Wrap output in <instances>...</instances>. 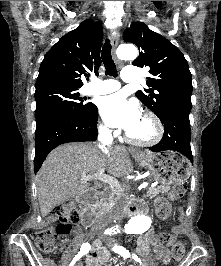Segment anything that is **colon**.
Segmentation results:
<instances>
[{
	"instance_id": "1",
	"label": "colon",
	"mask_w": 221,
	"mask_h": 266,
	"mask_svg": "<svg viewBox=\"0 0 221 266\" xmlns=\"http://www.w3.org/2000/svg\"><path fill=\"white\" fill-rule=\"evenodd\" d=\"M186 191L184 184H177L170 195L171 200L181 198ZM157 215L162 220H167L171 214L170 201L165 198H159L156 201ZM53 215L58 217L60 223L55 228H46L32 233V238L38 248L46 253H52L57 249V238L59 236L69 235L77 230L72 224L78 220L77 205L74 201H67L58 205L53 210ZM174 240L170 233L162 232L158 235V241L161 245L166 246ZM185 253V247L182 242H175L172 245L171 257L173 261H180Z\"/></svg>"
}]
</instances>
